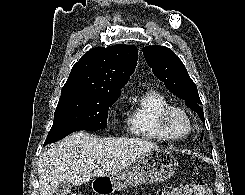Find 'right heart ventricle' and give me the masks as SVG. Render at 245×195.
<instances>
[{
	"label": "right heart ventricle",
	"mask_w": 245,
	"mask_h": 195,
	"mask_svg": "<svg viewBox=\"0 0 245 195\" xmlns=\"http://www.w3.org/2000/svg\"><path fill=\"white\" fill-rule=\"evenodd\" d=\"M170 105L165 95L156 90H146L137 95L126 108L128 134L142 139L166 141L157 126L160 110Z\"/></svg>",
	"instance_id": "right-heart-ventricle-1"
}]
</instances>
